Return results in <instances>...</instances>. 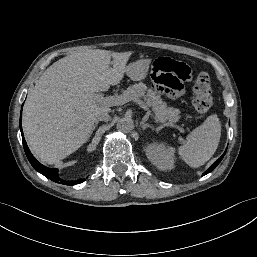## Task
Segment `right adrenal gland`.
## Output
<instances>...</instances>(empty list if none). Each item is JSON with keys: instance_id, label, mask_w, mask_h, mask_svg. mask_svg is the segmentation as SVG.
<instances>
[{"instance_id": "2a0ac1e0", "label": "right adrenal gland", "mask_w": 257, "mask_h": 257, "mask_svg": "<svg viewBox=\"0 0 257 257\" xmlns=\"http://www.w3.org/2000/svg\"><path fill=\"white\" fill-rule=\"evenodd\" d=\"M97 125H98V121H96L95 124L93 125L92 131H91L89 137L91 136V134L93 133V131L95 130V128L97 127Z\"/></svg>"}]
</instances>
